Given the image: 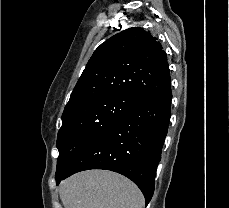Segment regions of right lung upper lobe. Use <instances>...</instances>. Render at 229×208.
I'll list each match as a JSON object with an SVG mask.
<instances>
[{
  "label": "right lung upper lobe",
  "mask_w": 229,
  "mask_h": 208,
  "mask_svg": "<svg viewBox=\"0 0 229 208\" xmlns=\"http://www.w3.org/2000/svg\"><path fill=\"white\" fill-rule=\"evenodd\" d=\"M156 40L133 27L102 43L88 61L63 114L104 95L119 94L141 102L170 85L167 55Z\"/></svg>",
  "instance_id": "1"
}]
</instances>
